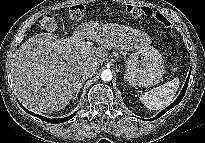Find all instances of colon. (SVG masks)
I'll return each mask as SVG.
<instances>
[{
    "mask_svg": "<svg viewBox=\"0 0 205 143\" xmlns=\"http://www.w3.org/2000/svg\"><path fill=\"white\" fill-rule=\"evenodd\" d=\"M127 12L129 13V15L135 18L153 17L157 22H159L164 27L171 26V22L166 16H164L162 13H159V12L154 13L148 7H143V6H138V5H128ZM84 13H85V9H84V6L81 4L72 5L68 10L69 17L73 20L82 19L84 16ZM39 25L42 29L46 31H53L57 25L56 17L51 13L45 14L41 18Z\"/></svg>",
    "mask_w": 205,
    "mask_h": 143,
    "instance_id": "obj_1",
    "label": "colon"
}]
</instances>
